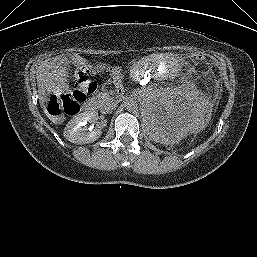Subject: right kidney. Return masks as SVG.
<instances>
[{"label":"right kidney","instance_id":"ca27d5eb","mask_svg":"<svg viewBox=\"0 0 257 257\" xmlns=\"http://www.w3.org/2000/svg\"><path fill=\"white\" fill-rule=\"evenodd\" d=\"M95 115L90 112H84L73 117L64 129V137L74 144H88L96 141L102 134L99 128L90 129L87 132V122H94Z\"/></svg>","mask_w":257,"mask_h":257}]
</instances>
